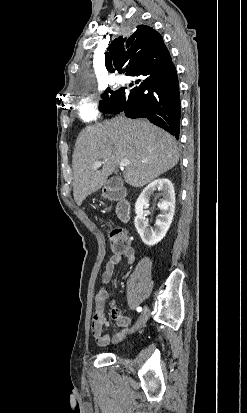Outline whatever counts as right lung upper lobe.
Masks as SVG:
<instances>
[{"instance_id": "1", "label": "right lung upper lobe", "mask_w": 247, "mask_h": 413, "mask_svg": "<svg viewBox=\"0 0 247 413\" xmlns=\"http://www.w3.org/2000/svg\"><path fill=\"white\" fill-rule=\"evenodd\" d=\"M170 60L162 36L146 25H138L128 38L112 41L105 53L106 68L127 76L151 73Z\"/></svg>"}]
</instances>
